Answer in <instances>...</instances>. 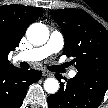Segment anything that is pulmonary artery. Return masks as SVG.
Returning a JSON list of instances; mask_svg holds the SVG:
<instances>
[{
	"label": "pulmonary artery",
	"instance_id": "1",
	"mask_svg": "<svg viewBox=\"0 0 108 108\" xmlns=\"http://www.w3.org/2000/svg\"><path fill=\"white\" fill-rule=\"evenodd\" d=\"M63 44L64 40L61 33L54 31L44 46L22 52L18 54L17 59L24 61H40L49 55L59 52L62 49ZM68 75L70 78H73L76 75V71L71 70Z\"/></svg>",
	"mask_w": 108,
	"mask_h": 108
}]
</instances>
